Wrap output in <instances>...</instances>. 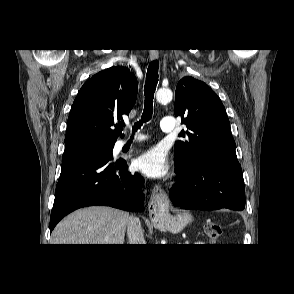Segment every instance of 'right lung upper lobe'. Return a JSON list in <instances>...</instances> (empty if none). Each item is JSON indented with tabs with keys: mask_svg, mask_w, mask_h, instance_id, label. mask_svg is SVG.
Instances as JSON below:
<instances>
[{
	"mask_svg": "<svg viewBox=\"0 0 294 294\" xmlns=\"http://www.w3.org/2000/svg\"><path fill=\"white\" fill-rule=\"evenodd\" d=\"M137 92V80L126 67L95 74L73 102L65 144L78 140L115 142L122 132L118 121L133 108Z\"/></svg>",
	"mask_w": 294,
	"mask_h": 294,
	"instance_id": "obj_1",
	"label": "right lung upper lobe"
}]
</instances>
